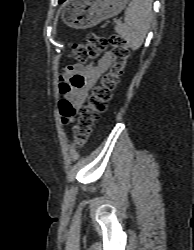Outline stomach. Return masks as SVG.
I'll return each instance as SVG.
<instances>
[{"label": "stomach", "instance_id": "stomach-1", "mask_svg": "<svg viewBox=\"0 0 194 250\" xmlns=\"http://www.w3.org/2000/svg\"><path fill=\"white\" fill-rule=\"evenodd\" d=\"M129 0H68L62 17L68 26L85 29L114 17Z\"/></svg>", "mask_w": 194, "mask_h": 250}]
</instances>
